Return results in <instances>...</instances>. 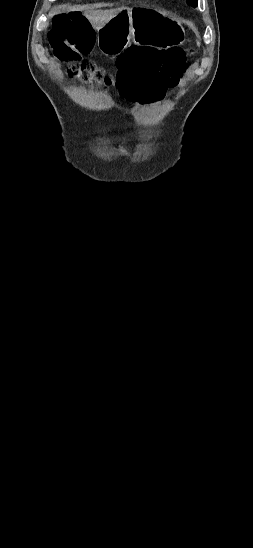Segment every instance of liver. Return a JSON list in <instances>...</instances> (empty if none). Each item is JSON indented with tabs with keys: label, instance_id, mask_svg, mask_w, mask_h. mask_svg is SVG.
<instances>
[{
	"label": "liver",
	"instance_id": "1",
	"mask_svg": "<svg viewBox=\"0 0 253 548\" xmlns=\"http://www.w3.org/2000/svg\"><path fill=\"white\" fill-rule=\"evenodd\" d=\"M67 8V5H58L53 7L51 10V15L59 14L65 11ZM72 10H77L79 7L73 6L69 7ZM123 10H128L126 7H119L115 9H109V10H93V9H87L85 11V17L90 22L91 26L95 30H99L102 27H104L112 18H114L117 14L122 12Z\"/></svg>",
	"mask_w": 253,
	"mask_h": 548
}]
</instances>
